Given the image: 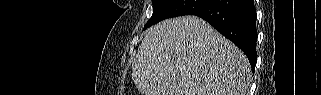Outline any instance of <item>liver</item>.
Listing matches in <instances>:
<instances>
[{"instance_id": "liver-1", "label": "liver", "mask_w": 321, "mask_h": 95, "mask_svg": "<svg viewBox=\"0 0 321 95\" xmlns=\"http://www.w3.org/2000/svg\"><path fill=\"white\" fill-rule=\"evenodd\" d=\"M250 76L244 53L195 16L149 28L132 64L142 95H245Z\"/></svg>"}]
</instances>
